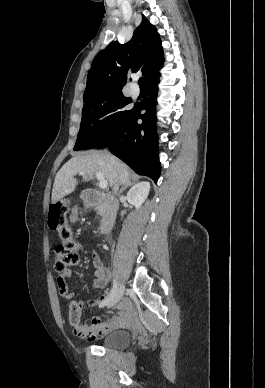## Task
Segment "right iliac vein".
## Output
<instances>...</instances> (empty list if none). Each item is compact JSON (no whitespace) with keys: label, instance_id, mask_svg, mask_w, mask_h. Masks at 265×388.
Instances as JSON below:
<instances>
[{"label":"right iliac vein","instance_id":"right-iliac-vein-1","mask_svg":"<svg viewBox=\"0 0 265 388\" xmlns=\"http://www.w3.org/2000/svg\"><path fill=\"white\" fill-rule=\"evenodd\" d=\"M124 290H125V286L123 284L120 285L117 293L115 294V296L111 299V301L109 302L108 306L109 307H113L114 305H116L123 297V294H124Z\"/></svg>","mask_w":265,"mask_h":388}]
</instances>
